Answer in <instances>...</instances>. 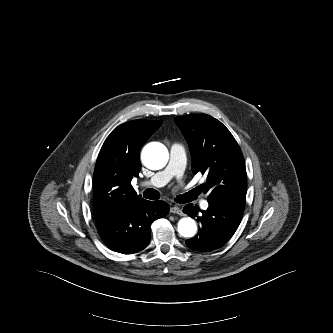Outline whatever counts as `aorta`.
Segmentation results:
<instances>
[{
    "instance_id": "obj_1",
    "label": "aorta",
    "mask_w": 333,
    "mask_h": 333,
    "mask_svg": "<svg viewBox=\"0 0 333 333\" xmlns=\"http://www.w3.org/2000/svg\"><path fill=\"white\" fill-rule=\"evenodd\" d=\"M141 157L147 168L159 170L167 164L169 154L163 144L152 142L145 146ZM177 230L182 237L192 238L197 233V225L192 218L184 217L179 220Z\"/></svg>"
}]
</instances>
